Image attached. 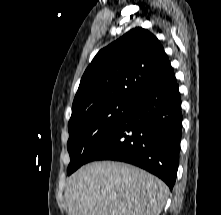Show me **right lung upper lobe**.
Listing matches in <instances>:
<instances>
[{
  "label": "right lung upper lobe",
  "instance_id": "cb5924a9",
  "mask_svg": "<svg viewBox=\"0 0 221 215\" xmlns=\"http://www.w3.org/2000/svg\"><path fill=\"white\" fill-rule=\"evenodd\" d=\"M174 77L160 41L136 27L96 54L81 78L72 107L106 100L134 102Z\"/></svg>",
  "mask_w": 221,
  "mask_h": 215
}]
</instances>
